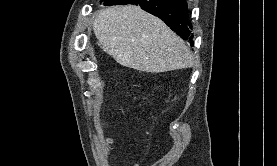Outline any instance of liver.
Instances as JSON below:
<instances>
[{
    "label": "liver",
    "instance_id": "6515ba94",
    "mask_svg": "<svg viewBox=\"0 0 277 166\" xmlns=\"http://www.w3.org/2000/svg\"><path fill=\"white\" fill-rule=\"evenodd\" d=\"M93 31L105 51L122 66L160 73L193 65L185 42L139 6L102 9L93 22Z\"/></svg>",
    "mask_w": 277,
    "mask_h": 166
}]
</instances>
